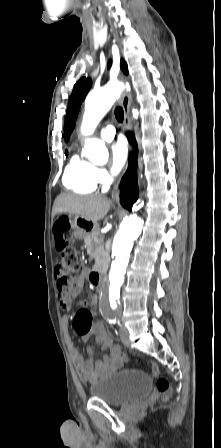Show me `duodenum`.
<instances>
[{
	"label": "duodenum",
	"mask_w": 221,
	"mask_h": 448,
	"mask_svg": "<svg viewBox=\"0 0 221 448\" xmlns=\"http://www.w3.org/2000/svg\"><path fill=\"white\" fill-rule=\"evenodd\" d=\"M90 281L94 285H100L102 283V271L101 270H93L90 274Z\"/></svg>",
	"instance_id": "1"
}]
</instances>
